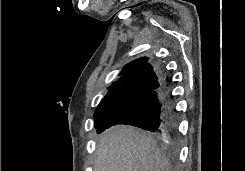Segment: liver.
<instances>
[{
	"mask_svg": "<svg viewBox=\"0 0 245 171\" xmlns=\"http://www.w3.org/2000/svg\"><path fill=\"white\" fill-rule=\"evenodd\" d=\"M94 171H171L152 136L132 126H115L97 145Z\"/></svg>",
	"mask_w": 245,
	"mask_h": 171,
	"instance_id": "1",
	"label": "liver"
}]
</instances>
